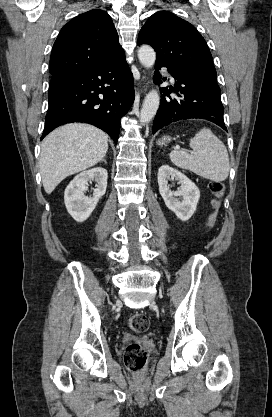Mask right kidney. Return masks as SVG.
Listing matches in <instances>:
<instances>
[{
  "instance_id": "ca27d5eb",
  "label": "right kidney",
  "mask_w": 272,
  "mask_h": 417,
  "mask_svg": "<svg viewBox=\"0 0 272 417\" xmlns=\"http://www.w3.org/2000/svg\"><path fill=\"white\" fill-rule=\"evenodd\" d=\"M107 170L96 167L83 171L77 175L66 187L64 193V203L68 213L77 222L85 221L95 209L99 199L105 194L107 188ZM97 182L92 197L84 196L87 190L88 181Z\"/></svg>"
}]
</instances>
